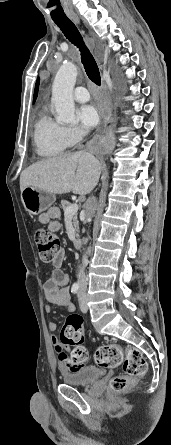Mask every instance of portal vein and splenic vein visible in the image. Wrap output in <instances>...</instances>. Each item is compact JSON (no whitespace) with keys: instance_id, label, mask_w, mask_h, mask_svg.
Returning <instances> with one entry per match:
<instances>
[{"instance_id":"obj_1","label":"portal vein and splenic vein","mask_w":171,"mask_h":445,"mask_svg":"<svg viewBox=\"0 0 171 445\" xmlns=\"http://www.w3.org/2000/svg\"><path fill=\"white\" fill-rule=\"evenodd\" d=\"M78 204L74 203L71 206H69L65 211H64V216L65 217H72L74 216L77 211H78Z\"/></svg>"}]
</instances>
